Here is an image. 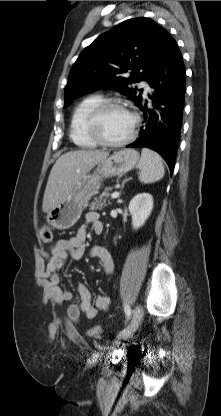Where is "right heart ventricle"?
Instances as JSON below:
<instances>
[{
	"mask_svg": "<svg viewBox=\"0 0 221 416\" xmlns=\"http://www.w3.org/2000/svg\"><path fill=\"white\" fill-rule=\"evenodd\" d=\"M102 101V96L90 95L82 99L75 107L70 121V137L77 146L93 148L98 145L88 134L86 122L91 111Z\"/></svg>",
	"mask_w": 221,
	"mask_h": 416,
	"instance_id": "right-heart-ventricle-1",
	"label": "right heart ventricle"
}]
</instances>
